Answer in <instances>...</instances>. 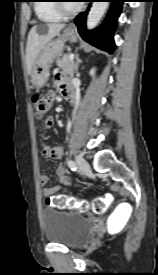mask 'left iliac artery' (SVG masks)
Returning a JSON list of instances; mask_svg holds the SVG:
<instances>
[{
	"instance_id": "1",
	"label": "left iliac artery",
	"mask_w": 158,
	"mask_h": 275,
	"mask_svg": "<svg viewBox=\"0 0 158 275\" xmlns=\"http://www.w3.org/2000/svg\"><path fill=\"white\" fill-rule=\"evenodd\" d=\"M67 164H68L69 168H70L72 171H76V170H77V167H76V164L74 163V161L68 160Z\"/></svg>"
}]
</instances>
